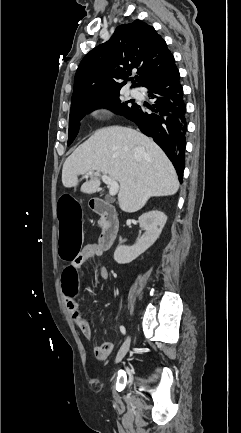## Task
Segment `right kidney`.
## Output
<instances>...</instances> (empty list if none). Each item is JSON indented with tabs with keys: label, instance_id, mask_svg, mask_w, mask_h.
I'll return each instance as SVG.
<instances>
[{
	"label": "right kidney",
	"instance_id": "1",
	"mask_svg": "<svg viewBox=\"0 0 241 433\" xmlns=\"http://www.w3.org/2000/svg\"><path fill=\"white\" fill-rule=\"evenodd\" d=\"M166 221L167 216L159 210L142 214L138 222L145 233L133 246H118L114 252V260L119 264H127L135 260L159 238Z\"/></svg>",
	"mask_w": 241,
	"mask_h": 433
}]
</instances>
